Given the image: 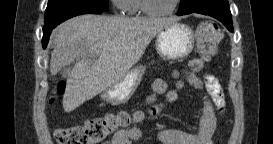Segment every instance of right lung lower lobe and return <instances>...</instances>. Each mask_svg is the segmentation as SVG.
I'll use <instances>...</instances> for the list:
<instances>
[{
  "instance_id": "right-lung-lower-lobe-1",
  "label": "right lung lower lobe",
  "mask_w": 273,
  "mask_h": 144,
  "mask_svg": "<svg viewBox=\"0 0 273 144\" xmlns=\"http://www.w3.org/2000/svg\"><path fill=\"white\" fill-rule=\"evenodd\" d=\"M104 11L99 10L94 7H78V8H72L67 9L61 12L56 13L50 20L48 24H45L43 27V39H42V46L45 49L47 46V43L49 41V37L51 34V31L60 23L63 21L72 18L77 15L82 14H101Z\"/></svg>"
}]
</instances>
